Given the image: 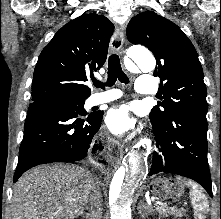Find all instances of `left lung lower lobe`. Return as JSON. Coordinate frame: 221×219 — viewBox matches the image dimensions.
<instances>
[{"instance_id": "0a47b994", "label": "left lung lower lobe", "mask_w": 221, "mask_h": 219, "mask_svg": "<svg viewBox=\"0 0 221 219\" xmlns=\"http://www.w3.org/2000/svg\"><path fill=\"white\" fill-rule=\"evenodd\" d=\"M157 151L149 176L173 173L195 180L212 197L207 159V121L187 113H176L164 123L153 122Z\"/></svg>"}]
</instances>
